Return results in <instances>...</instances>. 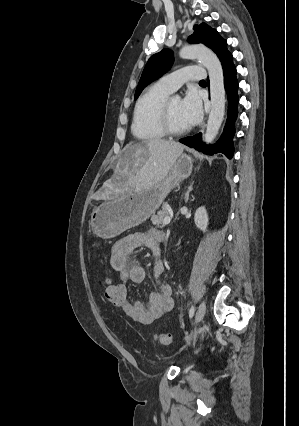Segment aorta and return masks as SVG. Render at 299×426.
<instances>
[{"label":"aorta","mask_w":299,"mask_h":426,"mask_svg":"<svg viewBox=\"0 0 299 426\" xmlns=\"http://www.w3.org/2000/svg\"><path fill=\"white\" fill-rule=\"evenodd\" d=\"M179 56L183 59H197L208 70L211 111L204 142L210 144L217 136L225 114L224 75L221 62L213 51L202 45L185 46L180 50Z\"/></svg>","instance_id":"762f6f07"}]
</instances>
